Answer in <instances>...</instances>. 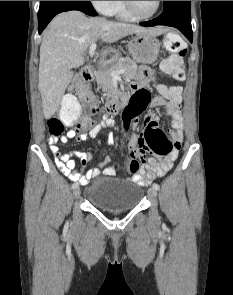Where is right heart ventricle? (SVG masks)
<instances>
[{
    "label": "right heart ventricle",
    "mask_w": 233,
    "mask_h": 295,
    "mask_svg": "<svg viewBox=\"0 0 233 295\" xmlns=\"http://www.w3.org/2000/svg\"><path fill=\"white\" fill-rule=\"evenodd\" d=\"M109 15L115 16L122 20H133L135 19L131 16L125 8L123 1H114L112 10Z\"/></svg>",
    "instance_id": "1"
}]
</instances>
